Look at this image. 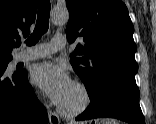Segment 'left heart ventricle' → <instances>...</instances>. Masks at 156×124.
<instances>
[{"label": "left heart ventricle", "instance_id": "1", "mask_svg": "<svg viewBox=\"0 0 156 124\" xmlns=\"http://www.w3.org/2000/svg\"><path fill=\"white\" fill-rule=\"evenodd\" d=\"M82 101L83 97L80 90L72 84L63 101L60 103V106L68 110H73L80 106Z\"/></svg>", "mask_w": 156, "mask_h": 124}]
</instances>
